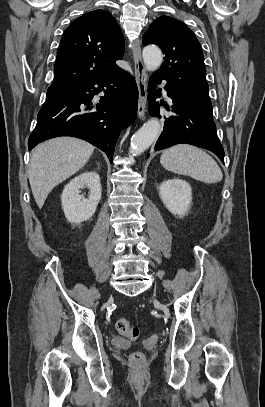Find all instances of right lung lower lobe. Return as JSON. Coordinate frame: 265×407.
Segmentation results:
<instances>
[{
    "mask_svg": "<svg viewBox=\"0 0 265 407\" xmlns=\"http://www.w3.org/2000/svg\"><path fill=\"white\" fill-rule=\"evenodd\" d=\"M101 91L105 96L93 102ZM137 99L134 78L120 68L89 78L65 95L46 100L29 137V149L50 138L73 136L98 147L112 162L120 132L136 118Z\"/></svg>",
    "mask_w": 265,
    "mask_h": 407,
    "instance_id": "right-lung-lower-lobe-1",
    "label": "right lung lower lobe"
}]
</instances>
